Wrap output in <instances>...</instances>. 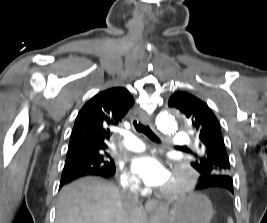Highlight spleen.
<instances>
[{
	"label": "spleen",
	"mask_w": 267,
	"mask_h": 223,
	"mask_svg": "<svg viewBox=\"0 0 267 223\" xmlns=\"http://www.w3.org/2000/svg\"><path fill=\"white\" fill-rule=\"evenodd\" d=\"M228 223H234L232 218H230V217L228 218Z\"/></svg>",
	"instance_id": "3e777b00"
}]
</instances>
